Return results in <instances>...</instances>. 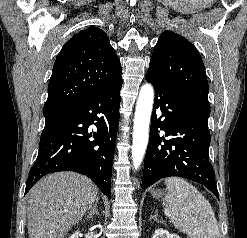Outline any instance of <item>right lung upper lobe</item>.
<instances>
[{
    "label": "right lung upper lobe",
    "mask_w": 247,
    "mask_h": 238,
    "mask_svg": "<svg viewBox=\"0 0 247 238\" xmlns=\"http://www.w3.org/2000/svg\"><path fill=\"white\" fill-rule=\"evenodd\" d=\"M121 64L107 35L97 27L75 34L58 54L43 109L49 120L121 79Z\"/></svg>",
    "instance_id": "right-lung-upper-lobe-1"
}]
</instances>
